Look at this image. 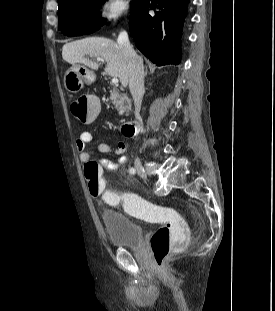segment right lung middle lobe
I'll return each mask as SVG.
<instances>
[{
    "mask_svg": "<svg viewBox=\"0 0 275 311\" xmlns=\"http://www.w3.org/2000/svg\"><path fill=\"white\" fill-rule=\"evenodd\" d=\"M143 0L131 2L134 11ZM105 0H69L59 5L58 29L67 36H76L85 24L92 26L95 30L104 24V19L98 18V12ZM81 27V28H80Z\"/></svg>",
    "mask_w": 275,
    "mask_h": 311,
    "instance_id": "dd1d6c3e",
    "label": "right lung middle lobe"
}]
</instances>
